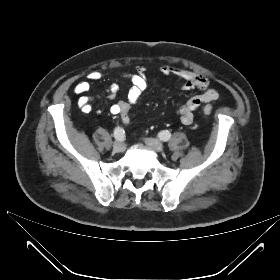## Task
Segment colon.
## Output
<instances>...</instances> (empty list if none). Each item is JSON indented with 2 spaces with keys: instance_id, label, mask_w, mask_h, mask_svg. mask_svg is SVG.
<instances>
[{
  "instance_id": "5ec220e1",
  "label": "colon",
  "mask_w": 280,
  "mask_h": 280,
  "mask_svg": "<svg viewBox=\"0 0 280 280\" xmlns=\"http://www.w3.org/2000/svg\"><path fill=\"white\" fill-rule=\"evenodd\" d=\"M203 112H204L205 114H210V113L212 112V108H211V107H205V108L203 109Z\"/></svg>"
}]
</instances>
